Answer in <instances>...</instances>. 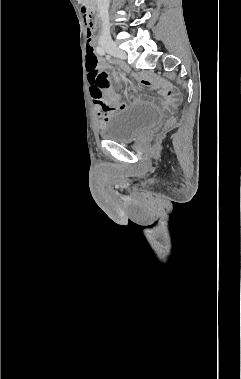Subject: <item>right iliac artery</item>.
I'll list each match as a JSON object with an SVG mask.
<instances>
[{"label":"right iliac artery","instance_id":"right-iliac-artery-1","mask_svg":"<svg viewBox=\"0 0 241 379\" xmlns=\"http://www.w3.org/2000/svg\"><path fill=\"white\" fill-rule=\"evenodd\" d=\"M97 52L100 54V55H104L105 54V51L102 47H97Z\"/></svg>","mask_w":241,"mask_h":379}]
</instances>
